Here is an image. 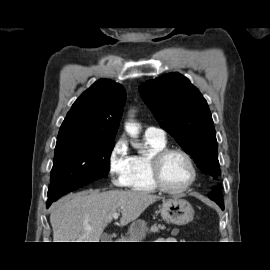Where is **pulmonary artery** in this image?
Masks as SVG:
<instances>
[{
    "label": "pulmonary artery",
    "mask_w": 270,
    "mask_h": 270,
    "mask_svg": "<svg viewBox=\"0 0 270 270\" xmlns=\"http://www.w3.org/2000/svg\"><path fill=\"white\" fill-rule=\"evenodd\" d=\"M166 133L163 129L157 127H148L145 130V136L150 138H155L158 140H165Z\"/></svg>",
    "instance_id": "pulmonary-artery-1"
}]
</instances>
